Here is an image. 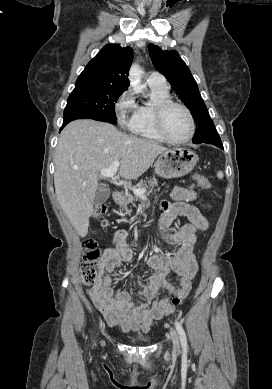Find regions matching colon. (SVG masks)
Listing matches in <instances>:
<instances>
[{
    "mask_svg": "<svg viewBox=\"0 0 272 389\" xmlns=\"http://www.w3.org/2000/svg\"><path fill=\"white\" fill-rule=\"evenodd\" d=\"M194 179L197 186L201 189H209V180L200 174H196ZM107 208L105 205H99L95 211V217L101 218L105 215ZM84 257L81 265V279L84 285H92L96 279L97 267L101 260V250L95 241L89 240L84 243ZM184 298L175 296L172 299V305L177 306L183 302Z\"/></svg>",
    "mask_w": 272,
    "mask_h": 389,
    "instance_id": "obj_1",
    "label": "colon"
}]
</instances>
